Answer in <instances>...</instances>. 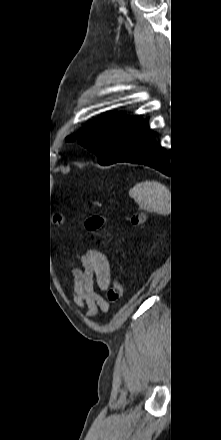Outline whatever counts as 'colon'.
I'll use <instances>...</instances> for the list:
<instances>
[{
    "mask_svg": "<svg viewBox=\"0 0 221 440\" xmlns=\"http://www.w3.org/2000/svg\"><path fill=\"white\" fill-rule=\"evenodd\" d=\"M56 223L62 222L60 214L54 215ZM145 222V213L143 211H134L129 216V223L132 226H142ZM104 224V219L101 217H91L85 221V228L90 232L99 230ZM124 286L119 279H114L107 293L108 300L117 303L122 300L124 296Z\"/></svg>",
    "mask_w": 221,
    "mask_h": 440,
    "instance_id": "5ec220e1",
    "label": "colon"
}]
</instances>
